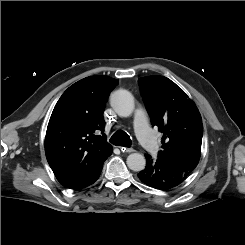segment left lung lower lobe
<instances>
[{
  "label": "left lung lower lobe",
  "mask_w": 245,
  "mask_h": 245,
  "mask_svg": "<svg viewBox=\"0 0 245 245\" xmlns=\"http://www.w3.org/2000/svg\"><path fill=\"white\" fill-rule=\"evenodd\" d=\"M146 167L138 173V178L146 185L158 190H169L181 184L190 174L173 165L153 159L145 154Z\"/></svg>",
  "instance_id": "1"
}]
</instances>
